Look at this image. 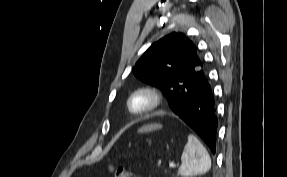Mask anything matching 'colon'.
<instances>
[{"label":"colon","mask_w":287,"mask_h":177,"mask_svg":"<svg viewBox=\"0 0 287 177\" xmlns=\"http://www.w3.org/2000/svg\"><path fill=\"white\" fill-rule=\"evenodd\" d=\"M108 170L112 177H137L132 171L122 166H109Z\"/></svg>","instance_id":"colon-1"}]
</instances>
